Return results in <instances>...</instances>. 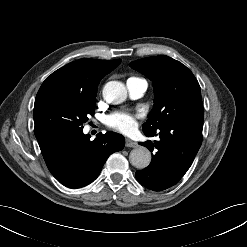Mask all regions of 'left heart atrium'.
Listing matches in <instances>:
<instances>
[{
  "mask_svg": "<svg viewBox=\"0 0 247 247\" xmlns=\"http://www.w3.org/2000/svg\"><path fill=\"white\" fill-rule=\"evenodd\" d=\"M136 115L125 113V112H116L109 115L105 123L108 127L118 130L122 133H130L136 127Z\"/></svg>",
  "mask_w": 247,
  "mask_h": 247,
  "instance_id": "left-heart-atrium-1",
  "label": "left heart atrium"
}]
</instances>
